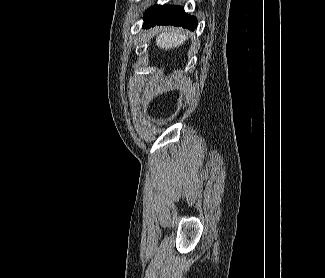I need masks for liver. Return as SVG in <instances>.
I'll list each match as a JSON object with an SVG mask.
<instances>
[{
  "label": "liver",
  "mask_w": 325,
  "mask_h": 278,
  "mask_svg": "<svg viewBox=\"0 0 325 278\" xmlns=\"http://www.w3.org/2000/svg\"><path fill=\"white\" fill-rule=\"evenodd\" d=\"M188 39L185 33L179 30L172 29L164 31L157 35L156 45L162 49H173L182 45Z\"/></svg>",
  "instance_id": "6515ba94"
}]
</instances>
